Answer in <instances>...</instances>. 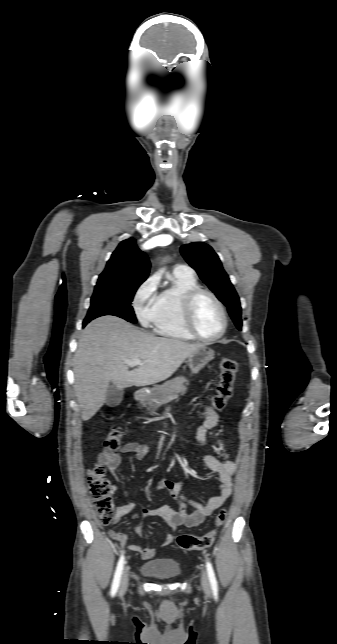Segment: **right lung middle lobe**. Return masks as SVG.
Instances as JSON below:
<instances>
[{"instance_id": "right-lung-middle-lobe-1", "label": "right lung middle lobe", "mask_w": 337, "mask_h": 644, "mask_svg": "<svg viewBox=\"0 0 337 644\" xmlns=\"http://www.w3.org/2000/svg\"><path fill=\"white\" fill-rule=\"evenodd\" d=\"M141 283L96 285L91 298V305L83 324L86 325L91 320L104 315H113L136 323L131 302Z\"/></svg>"}]
</instances>
